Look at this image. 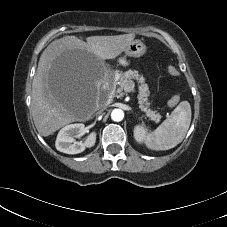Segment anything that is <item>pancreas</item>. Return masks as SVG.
<instances>
[{
  "mask_svg": "<svg viewBox=\"0 0 227 227\" xmlns=\"http://www.w3.org/2000/svg\"><path fill=\"white\" fill-rule=\"evenodd\" d=\"M132 79L137 80V82L139 83V108L141 109V111L145 112L146 116L150 120L156 123L159 122L161 119V115L157 113V111H153L149 108L150 102L148 101V97L150 93L148 85L145 83V78L143 77V75L139 74L137 70L129 69L120 76V78L116 81V85L118 86V88L114 91V95L117 97H121L125 88L134 85Z\"/></svg>",
  "mask_w": 227,
  "mask_h": 227,
  "instance_id": "cf45deb5",
  "label": "pancreas"
}]
</instances>
